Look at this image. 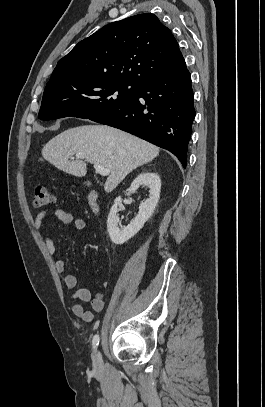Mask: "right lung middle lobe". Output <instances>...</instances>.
I'll return each instance as SVG.
<instances>
[{
    "label": "right lung middle lobe",
    "instance_id": "right-lung-middle-lobe-1",
    "mask_svg": "<svg viewBox=\"0 0 265 407\" xmlns=\"http://www.w3.org/2000/svg\"><path fill=\"white\" fill-rule=\"evenodd\" d=\"M139 84L122 80L84 79L48 82L38 118L51 120L67 116L93 118L131 103Z\"/></svg>",
    "mask_w": 265,
    "mask_h": 407
}]
</instances>
